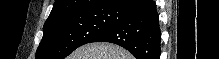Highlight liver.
<instances>
[{
  "mask_svg": "<svg viewBox=\"0 0 219 59\" xmlns=\"http://www.w3.org/2000/svg\"><path fill=\"white\" fill-rule=\"evenodd\" d=\"M67 59H134L125 49L109 43L86 44L72 54Z\"/></svg>",
  "mask_w": 219,
  "mask_h": 59,
  "instance_id": "obj_1",
  "label": "liver"
}]
</instances>
